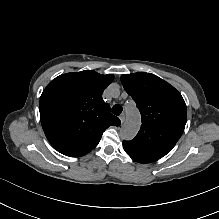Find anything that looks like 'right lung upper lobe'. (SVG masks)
<instances>
[{"label":"right lung upper lobe","instance_id":"obj_1","mask_svg":"<svg viewBox=\"0 0 219 219\" xmlns=\"http://www.w3.org/2000/svg\"><path fill=\"white\" fill-rule=\"evenodd\" d=\"M112 74L92 70L62 74L51 81L40 98V118L50 144L60 153L80 157L99 143L118 117L102 100V93L113 81Z\"/></svg>","mask_w":219,"mask_h":219}]
</instances>
